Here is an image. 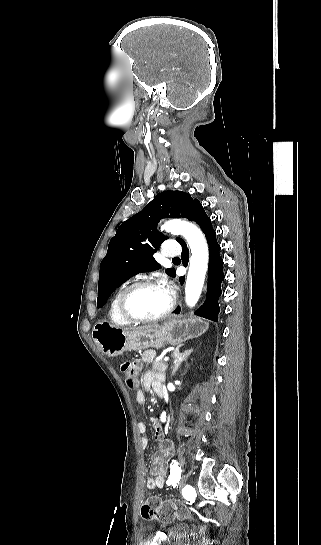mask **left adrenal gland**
<instances>
[{
    "mask_svg": "<svg viewBox=\"0 0 321 545\" xmlns=\"http://www.w3.org/2000/svg\"><path fill=\"white\" fill-rule=\"evenodd\" d=\"M193 349H190V351H184V353H180L179 349H176V351H174L173 355H174V365L172 367L173 371H172V375H174V373H176L177 369H179L181 363H183V361H186L187 357H189L190 353H192Z\"/></svg>",
    "mask_w": 321,
    "mask_h": 545,
    "instance_id": "a2214340",
    "label": "left adrenal gland"
}]
</instances>
